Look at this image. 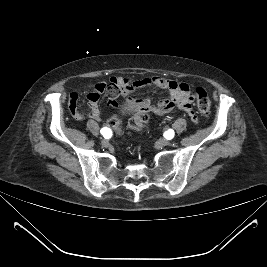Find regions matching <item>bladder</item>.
<instances>
[{"instance_id":"obj_1","label":"bladder","mask_w":267,"mask_h":267,"mask_svg":"<svg viewBox=\"0 0 267 267\" xmlns=\"http://www.w3.org/2000/svg\"><path fill=\"white\" fill-rule=\"evenodd\" d=\"M135 111V108L130 105H125L122 107L121 112L123 115H127L130 113H133Z\"/></svg>"}]
</instances>
